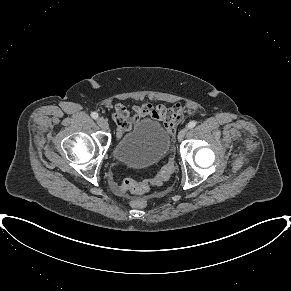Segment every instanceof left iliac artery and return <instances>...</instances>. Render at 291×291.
<instances>
[{"label": "left iliac artery", "instance_id": "left-iliac-artery-1", "mask_svg": "<svg viewBox=\"0 0 291 291\" xmlns=\"http://www.w3.org/2000/svg\"><path fill=\"white\" fill-rule=\"evenodd\" d=\"M196 126V121H190L189 123H188V125H187V128L188 129H192V128H194Z\"/></svg>", "mask_w": 291, "mask_h": 291}]
</instances>
